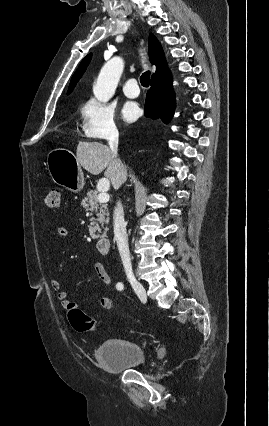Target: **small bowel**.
I'll return each instance as SVG.
<instances>
[{"label": "small bowel", "mask_w": 269, "mask_h": 426, "mask_svg": "<svg viewBox=\"0 0 269 426\" xmlns=\"http://www.w3.org/2000/svg\"><path fill=\"white\" fill-rule=\"evenodd\" d=\"M68 235V230L65 226H58L54 230L50 231L48 234L49 238H57L61 239ZM94 271L99 278V280L106 286L111 287L112 286V278L106 271L105 267L101 263H96L94 265ZM122 284V283H120ZM50 285L52 289L56 293V298L59 301L60 305L66 309L69 310L71 307H76L77 304L71 300H69L68 295L65 291L61 289V285L57 279L51 278L50 279ZM123 285V284H122ZM97 304L104 309H110L113 306V300L109 297H101L97 299Z\"/></svg>", "instance_id": "c3829d8e"}]
</instances>
